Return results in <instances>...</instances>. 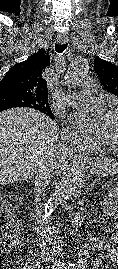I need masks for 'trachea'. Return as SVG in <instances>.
Returning a JSON list of instances; mask_svg holds the SVG:
<instances>
[{"label":"trachea","mask_w":118,"mask_h":269,"mask_svg":"<svg viewBox=\"0 0 118 269\" xmlns=\"http://www.w3.org/2000/svg\"><path fill=\"white\" fill-rule=\"evenodd\" d=\"M67 43L64 44H55V50L58 53H62L67 48Z\"/></svg>","instance_id":"1"}]
</instances>
